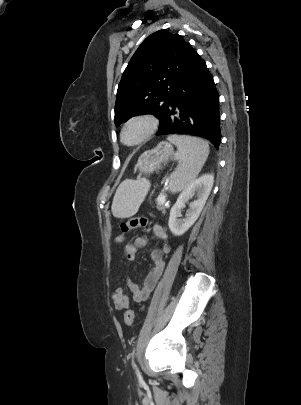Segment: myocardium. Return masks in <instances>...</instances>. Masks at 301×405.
I'll use <instances>...</instances> for the list:
<instances>
[{"mask_svg": "<svg viewBox=\"0 0 301 405\" xmlns=\"http://www.w3.org/2000/svg\"><path fill=\"white\" fill-rule=\"evenodd\" d=\"M132 125L142 126V133L140 137L132 143H128L124 139L126 130ZM159 121L158 119L148 113L137 114L130 117L127 121L124 122L120 131V141L128 147H136L147 141L158 129Z\"/></svg>", "mask_w": 301, "mask_h": 405, "instance_id": "f54148a6", "label": "myocardium"}]
</instances>
